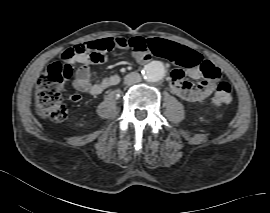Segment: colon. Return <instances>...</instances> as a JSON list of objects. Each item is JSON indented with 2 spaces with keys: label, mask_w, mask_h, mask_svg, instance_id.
Wrapping results in <instances>:
<instances>
[{
  "label": "colon",
  "mask_w": 270,
  "mask_h": 213,
  "mask_svg": "<svg viewBox=\"0 0 270 213\" xmlns=\"http://www.w3.org/2000/svg\"><path fill=\"white\" fill-rule=\"evenodd\" d=\"M117 48H126L134 54L144 52L147 48V42L142 37L118 38ZM82 49L74 47L68 49L63 54V62H54L50 64L39 76L35 84L34 100L37 110L41 117L61 122L68 115L64 100H74V95L68 96L64 90V83L73 75L72 62L79 56ZM150 57V56H148ZM201 72L207 82L215 85V91L212 96V105L215 108H221L231 103V86L226 81H219L218 69L210 61H203Z\"/></svg>",
  "instance_id": "1"
}]
</instances>
